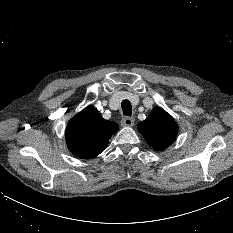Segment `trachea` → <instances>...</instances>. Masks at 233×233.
<instances>
[{
  "instance_id": "3493384b",
  "label": "trachea",
  "mask_w": 233,
  "mask_h": 233,
  "mask_svg": "<svg viewBox=\"0 0 233 233\" xmlns=\"http://www.w3.org/2000/svg\"><path fill=\"white\" fill-rule=\"evenodd\" d=\"M121 108L123 111V114L126 116H131L132 114V108H131V103L129 100H123L121 102Z\"/></svg>"
}]
</instances>
